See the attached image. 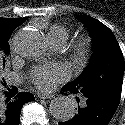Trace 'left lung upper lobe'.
Masks as SVG:
<instances>
[{
    "instance_id": "5c2ea615",
    "label": "left lung upper lobe",
    "mask_w": 125,
    "mask_h": 125,
    "mask_svg": "<svg viewBox=\"0 0 125 125\" xmlns=\"http://www.w3.org/2000/svg\"><path fill=\"white\" fill-rule=\"evenodd\" d=\"M93 36V55L83 73L66 85L73 93L87 97L120 94L124 75V58L112 31L89 16H80Z\"/></svg>"
}]
</instances>
